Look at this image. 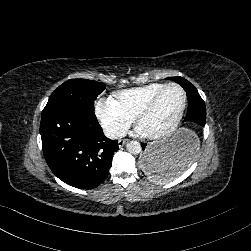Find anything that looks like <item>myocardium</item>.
Masks as SVG:
<instances>
[{
    "label": "myocardium",
    "mask_w": 251,
    "mask_h": 251,
    "mask_svg": "<svg viewBox=\"0 0 251 251\" xmlns=\"http://www.w3.org/2000/svg\"><path fill=\"white\" fill-rule=\"evenodd\" d=\"M170 88H176V89H179L180 91L183 92L184 105H183L182 111H181L178 119L173 124L154 133V137H157V138H162V137L170 135L171 133L175 132L183 123L188 106H189L188 91L182 85L177 84V83L166 84L158 92H156V94L151 99H149V101L145 105H143L137 112V119L140 121V116L143 113H147V112L151 111L155 107V105L157 104V102L159 101V99L163 95V93Z\"/></svg>",
    "instance_id": "myocardium-1"
}]
</instances>
